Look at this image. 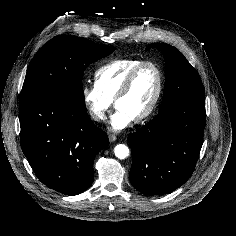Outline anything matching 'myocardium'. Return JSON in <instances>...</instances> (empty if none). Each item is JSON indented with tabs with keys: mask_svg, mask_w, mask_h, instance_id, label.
<instances>
[{
	"mask_svg": "<svg viewBox=\"0 0 236 236\" xmlns=\"http://www.w3.org/2000/svg\"><path fill=\"white\" fill-rule=\"evenodd\" d=\"M146 66H151L155 69L158 76V86H157V90L153 98V101L151 105L149 106V108L145 110L142 114H140L139 116L133 119L137 123L145 121L148 118H150L155 113V111L157 110L160 104V101L163 95V90H164V73L161 67L156 62L151 61V60L141 62L139 65L133 68L130 71V73L127 75L118 93L116 94L114 98V105L116 106L118 101L121 100L129 92L137 74Z\"/></svg>",
	"mask_w": 236,
	"mask_h": 236,
	"instance_id": "f54148a6",
	"label": "myocardium"
}]
</instances>
